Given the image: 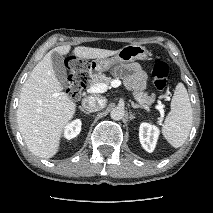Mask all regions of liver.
<instances>
[{
	"instance_id": "1",
	"label": "liver",
	"mask_w": 213,
	"mask_h": 213,
	"mask_svg": "<svg viewBox=\"0 0 213 213\" xmlns=\"http://www.w3.org/2000/svg\"><path fill=\"white\" fill-rule=\"evenodd\" d=\"M70 49V45H63L49 51L21 89L17 108L19 131L28 149L40 158L49 159L58 152L65 127L75 114L76 104L62 92L51 61L53 52L66 55ZM73 52L81 59H101L117 53L84 46L76 47Z\"/></svg>"
}]
</instances>
